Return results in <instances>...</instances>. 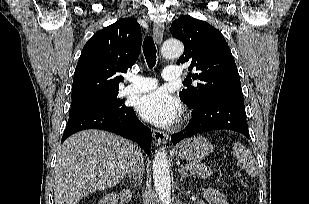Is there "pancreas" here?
<instances>
[{
	"label": "pancreas",
	"mask_w": 309,
	"mask_h": 204,
	"mask_svg": "<svg viewBox=\"0 0 309 204\" xmlns=\"http://www.w3.org/2000/svg\"><path fill=\"white\" fill-rule=\"evenodd\" d=\"M189 168L188 170L193 175H197L201 178L210 177L213 173V171L209 168V166L205 164H196V163H190L188 164Z\"/></svg>",
	"instance_id": "obj_1"
}]
</instances>
